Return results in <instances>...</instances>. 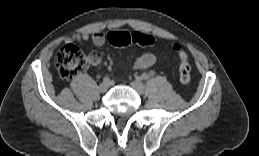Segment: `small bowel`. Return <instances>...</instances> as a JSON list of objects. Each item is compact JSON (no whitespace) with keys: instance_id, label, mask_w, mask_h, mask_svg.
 Masks as SVG:
<instances>
[{"instance_id":"small-bowel-1","label":"small bowel","mask_w":259,"mask_h":156,"mask_svg":"<svg viewBox=\"0 0 259 156\" xmlns=\"http://www.w3.org/2000/svg\"><path fill=\"white\" fill-rule=\"evenodd\" d=\"M107 36L108 34L104 32H97V33H94L93 35L82 33L74 36L71 40L77 41V42H87L91 40L96 46L101 47L108 41ZM100 61H101V56L98 53L90 54V62L93 65H97ZM155 62H156L155 55L152 52H146L136 59L133 67L135 69H146L151 67Z\"/></svg>"}]
</instances>
